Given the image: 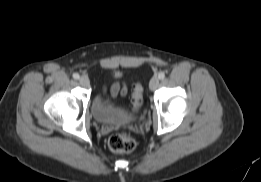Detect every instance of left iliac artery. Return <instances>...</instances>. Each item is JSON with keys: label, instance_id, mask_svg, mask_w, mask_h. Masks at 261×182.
I'll return each instance as SVG.
<instances>
[{"label": "left iliac artery", "instance_id": "obj_1", "mask_svg": "<svg viewBox=\"0 0 261 182\" xmlns=\"http://www.w3.org/2000/svg\"><path fill=\"white\" fill-rule=\"evenodd\" d=\"M158 78H159L160 80L164 79V78H165V73H164V72H160V73L158 74Z\"/></svg>", "mask_w": 261, "mask_h": 182}]
</instances>
